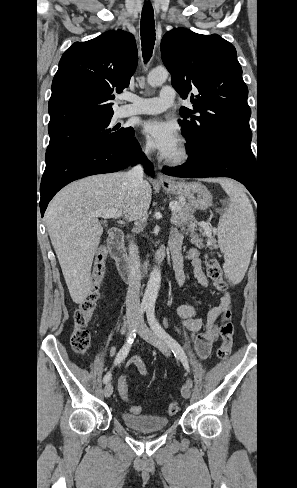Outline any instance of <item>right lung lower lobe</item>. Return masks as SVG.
<instances>
[{
  "label": "right lung lower lobe",
  "mask_w": 297,
  "mask_h": 488,
  "mask_svg": "<svg viewBox=\"0 0 297 488\" xmlns=\"http://www.w3.org/2000/svg\"><path fill=\"white\" fill-rule=\"evenodd\" d=\"M142 157L134 135L125 139L72 148L46 164L40 185L43 217L53 196L68 183L95 174L110 173L135 165ZM145 172L153 176L151 163L143 156Z\"/></svg>",
  "instance_id": "98d812e1"
}]
</instances>
